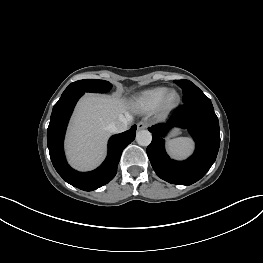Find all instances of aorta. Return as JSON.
Segmentation results:
<instances>
[{
	"label": "aorta",
	"instance_id": "obj_1",
	"mask_svg": "<svg viewBox=\"0 0 263 263\" xmlns=\"http://www.w3.org/2000/svg\"><path fill=\"white\" fill-rule=\"evenodd\" d=\"M136 141L141 146H148L152 141V135L148 130H140L136 134Z\"/></svg>",
	"mask_w": 263,
	"mask_h": 263
}]
</instances>
